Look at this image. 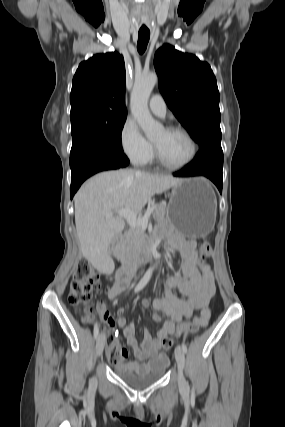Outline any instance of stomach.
<instances>
[{"instance_id":"obj_1","label":"stomach","mask_w":285,"mask_h":427,"mask_svg":"<svg viewBox=\"0 0 285 427\" xmlns=\"http://www.w3.org/2000/svg\"><path fill=\"white\" fill-rule=\"evenodd\" d=\"M217 201L203 177L182 179L172 187L166 218L173 230L186 238H202L214 228Z\"/></svg>"}]
</instances>
